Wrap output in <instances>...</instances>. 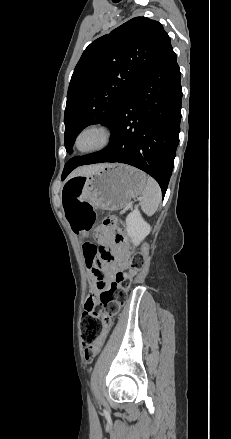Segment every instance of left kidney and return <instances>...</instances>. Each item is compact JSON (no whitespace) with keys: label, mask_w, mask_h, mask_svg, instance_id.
Returning <instances> with one entry per match:
<instances>
[{"label":"left kidney","mask_w":231,"mask_h":439,"mask_svg":"<svg viewBox=\"0 0 231 439\" xmlns=\"http://www.w3.org/2000/svg\"><path fill=\"white\" fill-rule=\"evenodd\" d=\"M126 231L132 243L138 246L150 233L151 227L144 221L140 212L135 209L126 218Z\"/></svg>","instance_id":"left-kidney-1"}]
</instances>
